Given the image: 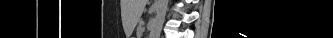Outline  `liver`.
Returning a JSON list of instances; mask_svg holds the SVG:
<instances>
[{
	"label": "liver",
	"instance_id": "obj_1",
	"mask_svg": "<svg viewBox=\"0 0 333 38\" xmlns=\"http://www.w3.org/2000/svg\"><path fill=\"white\" fill-rule=\"evenodd\" d=\"M147 0H133V21L137 22L144 10Z\"/></svg>",
	"mask_w": 333,
	"mask_h": 38
}]
</instances>
